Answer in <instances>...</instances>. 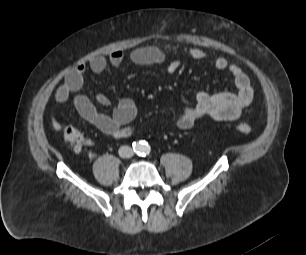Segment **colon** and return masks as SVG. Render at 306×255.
<instances>
[{
    "mask_svg": "<svg viewBox=\"0 0 306 255\" xmlns=\"http://www.w3.org/2000/svg\"><path fill=\"white\" fill-rule=\"evenodd\" d=\"M236 130L242 134H250L252 128L247 123H239L236 126ZM64 139L73 147V150L77 154H81L87 144V141L83 134L75 127L68 126L64 130Z\"/></svg>",
    "mask_w": 306,
    "mask_h": 255,
    "instance_id": "colon-1",
    "label": "colon"
}]
</instances>
